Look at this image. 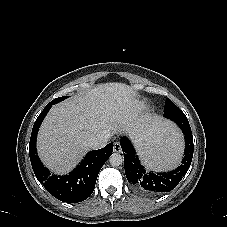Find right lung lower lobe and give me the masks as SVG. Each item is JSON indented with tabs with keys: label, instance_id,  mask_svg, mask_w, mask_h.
<instances>
[{
	"label": "right lung lower lobe",
	"instance_id": "obj_1",
	"mask_svg": "<svg viewBox=\"0 0 227 227\" xmlns=\"http://www.w3.org/2000/svg\"><path fill=\"white\" fill-rule=\"evenodd\" d=\"M51 107L52 103H49L34 123L29 144L31 165L38 181L44 185L50 194L63 202L78 203L92 194L98 173L113 152V143H109L102 149L89 152L69 175H52L43 166L36 151L39 127Z\"/></svg>",
	"mask_w": 227,
	"mask_h": 227
}]
</instances>
